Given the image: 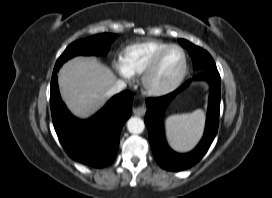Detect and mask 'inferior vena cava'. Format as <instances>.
Listing matches in <instances>:
<instances>
[{
  "label": "inferior vena cava",
  "instance_id": "1",
  "mask_svg": "<svg viewBox=\"0 0 272 198\" xmlns=\"http://www.w3.org/2000/svg\"><path fill=\"white\" fill-rule=\"evenodd\" d=\"M126 83L122 80H117L113 86L107 91V95H113L123 91L126 88Z\"/></svg>",
  "mask_w": 272,
  "mask_h": 198
}]
</instances>
